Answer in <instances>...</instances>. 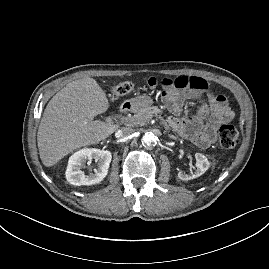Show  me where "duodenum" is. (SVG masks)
Returning a JSON list of instances; mask_svg holds the SVG:
<instances>
[{
	"mask_svg": "<svg viewBox=\"0 0 269 269\" xmlns=\"http://www.w3.org/2000/svg\"><path fill=\"white\" fill-rule=\"evenodd\" d=\"M133 108H134V103L130 102V101H127V102H124L120 106V112L121 113H127V112H130Z\"/></svg>",
	"mask_w": 269,
	"mask_h": 269,
	"instance_id": "410a0bca",
	"label": "duodenum"
}]
</instances>
